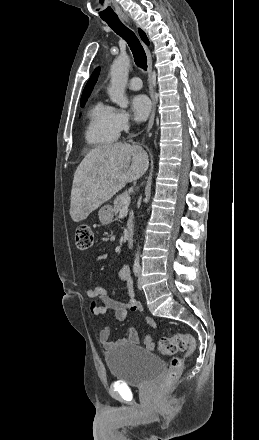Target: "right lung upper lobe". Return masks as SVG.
I'll use <instances>...</instances> for the list:
<instances>
[{
	"label": "right lung upper lobe",
	"instance_id": "cb5924a9",
	"mask_svg": "<svg viewBox=\"0 0 259 440\" xmlns=\"http://www.w3.org/2000/svg\"><path fill=\"white\" fill-rule=\"evenodd\" d=\"M139 34H140L142 40H143L147 45H149V41H148V39H147V37H146V34H145L141 29H139ZM99 72H100V68L98 67V68H96L95 71L92 73V75H91V77H90L88 83L86 84V86H85V88H84V90H83V93H82L81 99H83V98H88V97H89V95H90L91 91L93 90V87H94V85H95V83H96V81H97V79H98Z\"/></svg>",
	"mask_w": 259,
	"mask_h": 440
}]
</instances>
